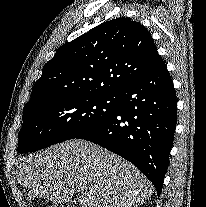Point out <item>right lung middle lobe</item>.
Returning a JSON list of instances; mask_svg holds the SVG:
<instances>
[{"label": "right lung middle lobe", "mask_w": 206, "mask_h": 207, "mask_svg": "<svg viewBox=\"0 0 206 207\" xmlns=\"http://www.w3.org/2000/svg\"><path fill=\"white\" fill-rule=\"evenodd\" d=\"M117 109V95L80 96L46 101L24 110L18 152H35L77 138Z\"/></svg>", "instance_id": "obj_1"}]
</instances>
